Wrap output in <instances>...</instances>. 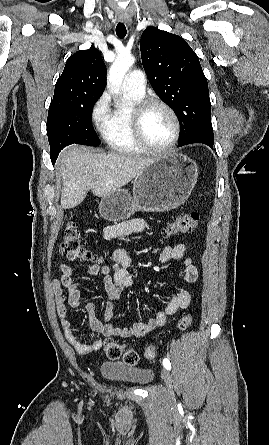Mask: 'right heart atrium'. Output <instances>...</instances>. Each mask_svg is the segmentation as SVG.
<instances>
[{"mask_svg": "<svg viewBox=\"0 0 269 445\" xmlns=\"http://www.w3.org/2000/svg\"><path fill=\"white\" fill-rule=\"evenodd\" d=\"M109 114V96L107 93L102 94L93 104L91 116L93 121L99 125L106 119Z\"/></svg>", "mask_w": 269, "mask_h": 445, "instance_id": "d8ad5b80", "label": "right heart atrium"}]
</instances>
